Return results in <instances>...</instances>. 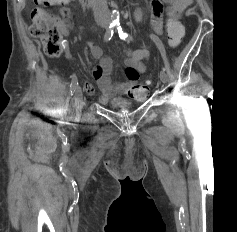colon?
Here are the masks:
<instances>
[{"label":"colon","mask_w":237,"mask_h":232,"mask_svg":"<svg viewBox=\"0 0 237 232\" xmlns=\"http://www.w3.org/2000/svg\"><path fill=\"white\" fill-rule=\"evenodd\" d=\"M44 6L64 5L65 0H37ZM73 12L65 9L64 17L71 19ZM32 24L30 35L40 40L44 52L51 57L58 56L63 48L64 41L61 29L56 23V19L44 8L37 7L31 13ZM166 33L168 43L172 48L179 46L184 36V28L177 19H168L166 23ZM145 86L149 89L150 84Z\"/></svg>","instance_id":"obj_1"}]
</instances>
